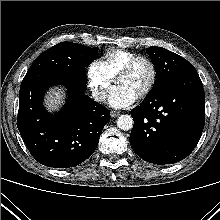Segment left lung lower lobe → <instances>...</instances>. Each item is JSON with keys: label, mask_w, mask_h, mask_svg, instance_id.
Here are the masks:
<instances>
[{"label": "left lung lower lobe", "mask_w": 220, "mask_h": 220, "mask_svg": "<svg viewBox=\"0 0 220 220\" xmlns=\"http://www.w3.org/2000/svg\"><path fill=\"white\" fill-rule=\"evenodd\" d=\"M130 145L142 159L173 164L196 147L205 123V94L197 71L178 75L131 111Z\"/></svg>", "instance_id": "1"}]
</instances>
